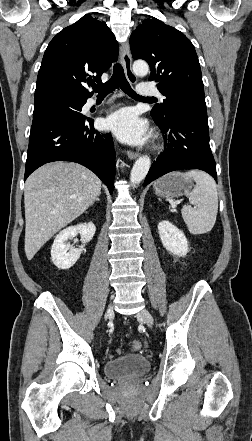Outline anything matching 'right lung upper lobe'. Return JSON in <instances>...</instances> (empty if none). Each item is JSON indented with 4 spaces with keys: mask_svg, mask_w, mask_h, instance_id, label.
I'll return each mask as SVG.
<instances>
[{
    "mask_svg": "<svg viewBox=\"0 0 252 441\" xmlns=\"http://www.w3.org/2000/svg\"><path fill=\"white\" fill-rule=\"evenodd\" d=\"M118 44L106 23L84 15L49 43L38 72L35 100L93 95L85 84L101 82V75L117 60Z\"/></svg>",
    "mask_w": 252,
    "mask_h": 441,
    "instance_id": "right-lung-upper-lobe-1",
    "label": "right lung upper lobe"
}]
</instances>
